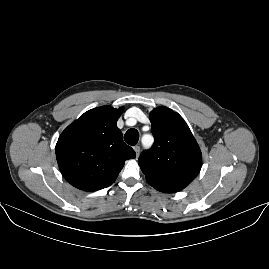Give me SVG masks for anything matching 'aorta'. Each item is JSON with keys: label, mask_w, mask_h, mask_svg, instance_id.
<instances>
[{"label": "aorta", "mask_w": 269, "mask_h": 269, "mask_svg": "<svg viewBox=\"0 0 269 269\" xmlns=\"http://www.w3.org/2000/svg\"><path fill=\"white\" fill-rule=\"evenodd\" d=\"M142 144H143V146H145V147H150V146H151L150 143L144 142L143 140H142Z\"/></svg>", "instance_id": "1"}]
</instances>
